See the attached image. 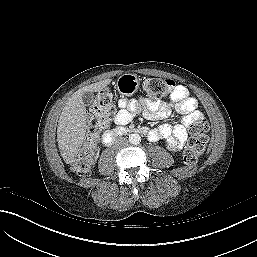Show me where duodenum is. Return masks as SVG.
Segmentation results:
<instances>
[{"label":"duodenum","instance_id":"obj_1","mask_svg":"<svg viewBox=\"0 0 257 257\" xmlns=\"http://www.w3.org/2000/svg\"><path fill=\"white\" fill-rule=\"evenodd\" d=\"M133 132L142 134V135H148L150 133L149 129L147 127H139L133 130ZM127 133V129L122 126H116L103 135V144L106 146L111 145L119 136Z\"/></svg>","mask_w":257,"mask_h":257}]
</instances>
